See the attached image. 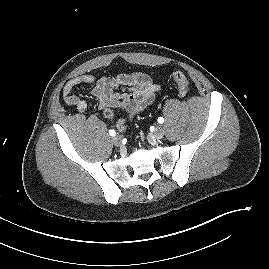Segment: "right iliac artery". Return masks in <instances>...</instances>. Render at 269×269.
I'll list each match as a JSON object with an SVG mask.
<instances>
[{
	"instance_id": "82829eb1",
	"label": "right iliac artery",
	"mask_w": 269,
	"mask_h": 269,
	"mask_svg": "<svg viewBox=\"0 0 269 269\" xmlns=\"http://www.w3.org/2000/svg\"><path fill=\"white\" fill-rule=\"evenodd\" d=\"M110 136H115L116 132L114 130H109Z\"/></svg>"
}]
</instances>
